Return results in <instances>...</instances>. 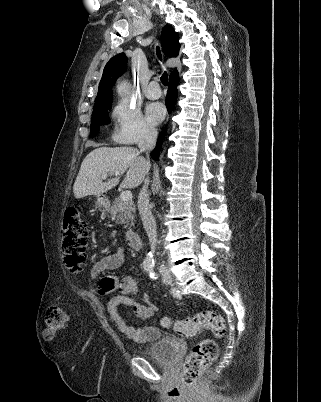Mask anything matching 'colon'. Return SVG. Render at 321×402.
Masks as SVG:
<instances>
[{"instance_id":"1","label":"colon","mask_w":321,"mask_h":402,"mask_svg":"<svg viewBox=\"0 0 321 402\" xmlns=\"http://www.w3.org/2000/svg\"><path fill=\"white\" fill-rule=\"evenodd\" d=\"M88 240V226L77 207H68L64 212L62 224V248L64 262L71 273L81 270L85 262ZM67 322L66 312L60 306H51L46 313L45 337L52 339ZM162 324L184 335H195L201 329H210L216 336H223L226 325L223 317L211 310H204L194 317L170 321ZM218 347L214 340L204 339L198 342L186 357L181 378L186 385H194L201 374L216 360Z\"/></svg>"}]
</instances>
